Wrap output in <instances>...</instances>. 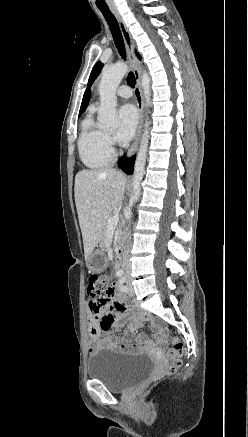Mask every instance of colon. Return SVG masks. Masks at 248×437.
<instances>
[{
	"label": "colon",
	"mask_w": 248,
	"mask_h": 437,
	"mask_svg": "<svg viewBox=\"0 0 248 437\" xmlns=\"http://www.w3.org/2000/svg\"><path fill=\"white\" fill-rule=\"evenodd\" d=\"M109 282L107 274L90 275L88 278V294L90 296L98 294L101 297V294L110 288ZM171 343L172 346L168 350L169 364L166 368V374H173L178 371L182 364L180 357L184 352V345L179 339L173 338Z\"/></svg>",
	"instance_id": "1"
}]
</instances>
